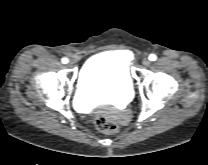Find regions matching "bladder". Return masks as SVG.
<instances>
[{"mask_svg": "<svg viewBox=\"0 0 208 165\" xmlns=\"http://www.w3.org/2000/svg\"><path fill=\"white\" fill-rule=\"evenodd\" d=\"M132 94L128 62L123 59L121 51L97 53L86 60L77 82L80 102H111L122 106L128 103Z\"/></svg>", "mask_w": 208, "mask_h": 165, "instance_id": "31cf9c89", "label": "bladder"}]
</instances>
